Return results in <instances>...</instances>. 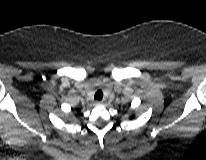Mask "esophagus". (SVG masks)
<instances>
[{
	"mask_svg": "<svg viewBox=\"0 0 206 160\" xmlns=\"http://www.w3.org/2000/svg\"><path fill=\"white\" fill-rule=\"evenodd\" d=\"M95 103H96V104H103V103H104V100H97Z\"/></svg>",
	"mask_w": 206,
	"mask_h": 160,
	"instance_id": "1",
	"label": "esophagus"
}]
</instances>
